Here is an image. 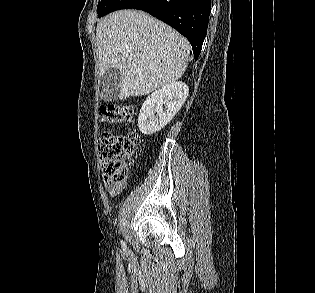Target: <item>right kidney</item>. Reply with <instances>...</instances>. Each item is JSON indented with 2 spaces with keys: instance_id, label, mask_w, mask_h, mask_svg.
<instances>
[{
  "instance_id": "ca27d5eb",
  "label": "right kidney",
  "mask_w": 315,
  "mask_h": 293,
  "mask_svg": "<svg viewBox=\"0 0 315 293\" xmlns=\"http://www.w3.org/2000/svg\"><path fill=\"white\" fill-rule=\"evenodd\" d=\"M188 91V86L179 81L165 85L149 95L140 109L139 130L144 135H152L164 128L181 109Z\"/></svg>"
}]
</instances>
